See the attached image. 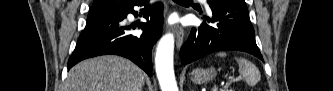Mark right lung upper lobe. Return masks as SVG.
I'll list each match as a JSON object with an SVG mask.
<instances>
[{
  "mask_svg": "<svg viewBox=\"0 0 333 91\" xmlns=\"http://www.w3.org/2000/svg\"><path fill=\"white\" fill-rule=\"evenodd\" d=\"M139 0H94L93 6H99L98 8H94L92 6L91 13H102V12H111L122 10L132 3ZM113 3H121L120 6H112Z\"/></svg>",
  "mask_w": 333,
  "mask_h": 91,
  "instance_id": "cb5924a9",
  "label": "right lung upper lobe"
}]
</instances>
